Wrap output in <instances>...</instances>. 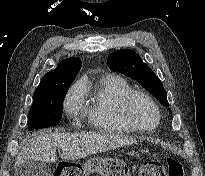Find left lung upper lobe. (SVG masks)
I'll return each mask as SVG.
<instances>
[{"label": "left lung upper lobe", "instance_id": "left-lung-upper-lobe-1", "mask_svg": "<svg viewBox=\"0 0 205 176\" xmlns=\"http://www.w3.org/2000/svg\"><path fill=\"white\" fill-rule=\"evenodd\" d=\"M107 64L112 70L123 73L139 82L164 106H169L167 93L162 82L135 51L123 49L112 52L107 58Z\"/></svg>", "mask_w": 205, "mask_h": 176}]
</instances>
